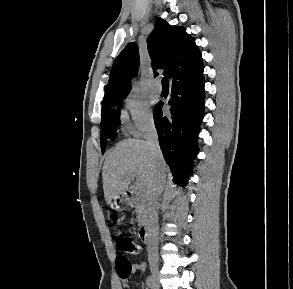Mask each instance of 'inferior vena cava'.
Returning a JSON list of instances; mask_svg holds the SVG:
<instances>
[{
	"mask_svg": "<svg viewBox=\"0 0 293 289\" xmlns=\"http://www.w3.org/2000/svg\"><path fill=\"white\" fill-rule=\"evenodd\" d=\"M144 139L149 146L152 154L156 157H162V153L159 147L158 135L153 122H149L146 125ZM166 183V176L162 171L158 170L156 176L148 190V258L150 261L157 263L158 260V218L156 212V206L159 196Z\"/></svg>",
	"mask_w": 293,
	"mask_h": 289,
	"instance_id": "1",
	"label": "inferior vena cava"
}]
</instances>
